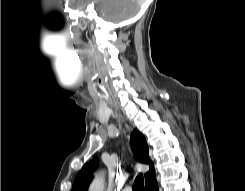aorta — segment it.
Instances as JSON below:
<instances>
[{
	"mask_svg": "<svg viewBox=\"0 0 245 191\" xmlns=\"http://www.w3.org/2000/svg\"><path fill=\"white\" fill-rule=\"evenodd\" d=\"M105 190V181L102 175H98L92 182L89 191H104Z\"/></svg>",
	"mask_w": 245,
	"mask_h": 191,
	"instance_id": "aorta-1",
	"label": "aorta"
}]
</instances>
